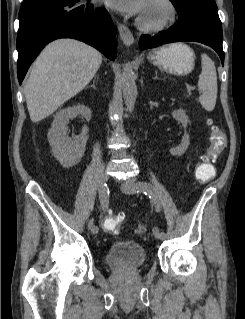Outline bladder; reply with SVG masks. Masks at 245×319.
Listing matches in <instances>:
<instances>
[{
	"label": "bladder",
	"instance_id": "bladder-1",
	"mask_svg": "<svg viewBox=\"0 0 245 319\" xmlns=\"http://www.w3.org/2000/svg\"><path fill=\"white\" fill-rule=\"evenodd\" d=\"M145 258L143 246L129 240L113 242L105 254L106 262L113 266L138 267L145 262Z\"/></svg>",
	"mask_w": 245,
	"mask_h": 319
}]
</instances>
